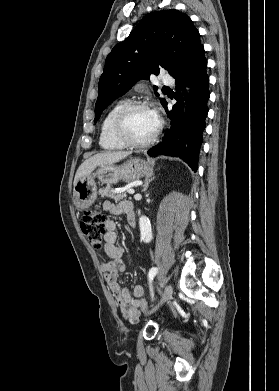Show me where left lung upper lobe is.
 Segmentation results:
<instances>
[{"mask_svg": "<svg viewBox=\"0 0 279 391\" xmlns=\"http://www.w3.org/2000/svg\"><path fill=\"white\" fill-rule=\"evenodd\" d=\"M202 46L199 32L186 14L171 9L146 15L106 58L94 121L137 81L157 75L161 68L173 78L182 74ZM154 91H157L156 86ZM160 101L162 105L166 103L164 98Z\"/></svg>", "mask_w": 279, "mask_h": 391, "instance_id": "left-lung-upper-lobe-1", "label": "left lung upper lobe"}]
</instances>
